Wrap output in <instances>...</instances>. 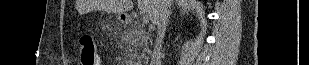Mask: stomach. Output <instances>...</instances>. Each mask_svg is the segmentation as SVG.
Returning a JSON list of instances; mask_svg holds the SVG:
<instances>
[{"mask_svg": "<svg viewBox=\"0 0 309 65\" xmlns=\"http://www.w3.org/2000/svg\"><path fill=\"white\" fill-rule=\"evenodd\" d=\"M123 19H124V17H123V16H121V15H119V16H118V20H119L121 23H123V22H124V20H123Z\"/></svg>", "mask_w": 309, "mask_h": 65, "instance_id": "obj_1", "label": "stomach"}]
</instances>
